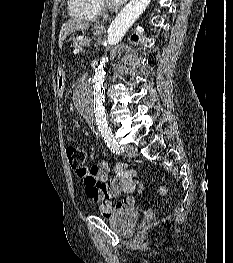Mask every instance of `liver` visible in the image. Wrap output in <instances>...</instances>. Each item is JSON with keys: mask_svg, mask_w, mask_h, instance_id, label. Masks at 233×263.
<instances>
[{"mask_svg": "<svg viewBox=\"0 0 233 263\" xmlns=\"http://www.w3.org/2000/svg\"><path fill=\"white\" fill-rule=\"evenodd\" d=\"M90 27V22L81 19H71L62 24L59 34V47L62 48L63 41L71 33L79 30H85Z\"/></svg>", "mask_w": 233, "mask_h": 263, "instance_id": "liver-1", "label": "liver"}]
</instances>
